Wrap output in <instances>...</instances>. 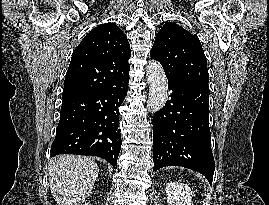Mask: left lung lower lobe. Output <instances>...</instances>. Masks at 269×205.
Here are the masks:
<instances>
[{
    "label": "left lung lower lobe",
    "instance_id": "left-lung-lower-lobe-1",
    "mask_svg": "<svg viewBox=\"0 0 269 205\" xmlns=\"http://www.w3.org/2000/svg\"><path fill=\"white\" fill-rule=\"evenodd\" d=\"M171 99L153 116V170L182 166L211 183L215 170L209 128V86L168 80Z\"/></svg>",
    "mask_w": 269,
    "mask_h": 205
}]
</instances>
